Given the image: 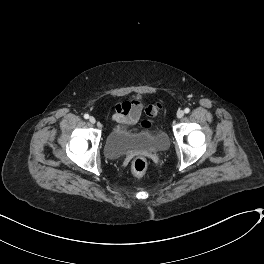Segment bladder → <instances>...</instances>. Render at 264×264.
<instances>
[{
    "mask_svg": "<svg viewBox=\"0 0 264 264\" xmlns=\"http://www.w3.org/2000/svg\"><path fill=\"white\" fill-rule=\"evenodd\" d=\"M168 147L169 136L162 129L149 126L141 131L132 132L118 126L106 137L104 154L108 160H116L135 152L161 153Z\"/></svg>",
    "mask_w": 264,
    "mask_h": 264,
    "instance_id": "31cf9c89",
    "label": "bladder"
}]
</instances>
